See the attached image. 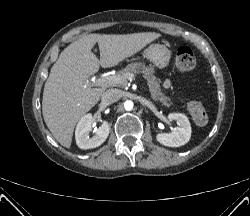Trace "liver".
<instances>
[{
	"instance_id": "1",
	"label": "liver",
	"mask_w": 250,
	"mask_h": 216,
	"mask_svg": "<svg viewBox=\"0 0 250 216\" xmlns=\"http://www.w3.org/2000/svg\"><path fill=\"white\" fill-rule=\"evenodd\" d=\"M159 37L160 34L154 32L89 34L60 53L44 86L42 113L50 132L62 146H71L75 125L106 90L105 87L86 85V80L97 73L100 66H116ZM96 43L100 61L92 52Z\"/></svg>"
}]
</instances>
